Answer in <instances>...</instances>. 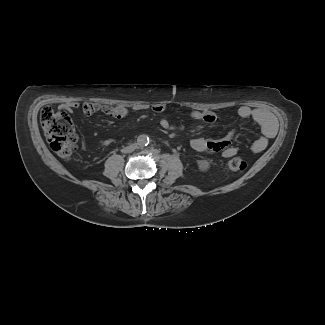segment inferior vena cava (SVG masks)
I'll return each mask as SVG.
<instances>
[{
  "instance_id": "obj_1",
  "label": "inferior vena cava",
  "mask_w": 325,
  "mask_h": 325,
  "mask_svg": "<svg viewBox=\"0 0 325 325\" xmlns=\"http://www.w3.org/2000/svg\"><path fill=\"white\" fill-rule=\"evenodd\" d=\"M136 146L134 144L124 147L121 151L123 153H131L135 150Z\"/></svg>"
}]
</instances>
